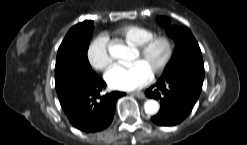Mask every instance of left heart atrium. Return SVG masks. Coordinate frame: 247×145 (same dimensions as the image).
Wrapping results in <instances>:
<instances>
[{"label": "left heart atrium", "mask_w": 247, "mask_h": 145, "mask_svg": "<svg viewBox=\"0 0 247 145\" xmlns=\"http://www.w3.org/2000/svg\"><path fill=\"white\" fill-rule=\"evenodd\" d=\"M152 72L141 62L129 66L114 65L105 73L107 84L117 90L130 91L148 84Z\"/></svg>", "instance_id": "left-heart-atrium-1"}]
</instances>
